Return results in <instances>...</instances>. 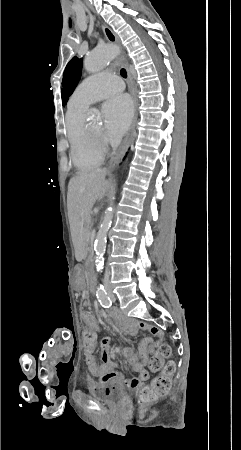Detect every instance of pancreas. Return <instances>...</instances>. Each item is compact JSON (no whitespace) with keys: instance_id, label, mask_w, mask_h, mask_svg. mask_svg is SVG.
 Instances as JSON below:
<instances>
[{"instance_id":"obj_1","label":"pancreas","mask_w":241,"mask_h":450,"mask_svg":"<svg viewBox=\"0 0 241 450\" xmlns=\"http://www.w3.org/2000/svg\"><path fill=\"white\" fill-rule=\"evenodd\" d=\"M88 233H90L89 230H85V232H84L85 240H88Z\"/></svg>"}]
</instances>
